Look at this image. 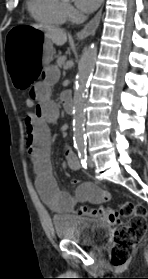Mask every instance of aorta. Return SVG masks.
Listing matches in <instances>:
<instances>
[{
  "mask_svg": "<svg viewBox=\"0 0 148 279\" xmlns=\"http://www.w3.org/2000/svg\"><path fill=\"white\" fill-rule=\"evenodd\" d=\"M97 47L92 45L83 53L82 62L78 69L76 87L73 97V130L74 143L84 146L85 103L88 93V83L95 68Z\"/></svg>",
  "mask_w": 148,
  "mask_h": 279,
  "instance_id": "aorta-1",
  "label": "aorta"
}]
</instances>
